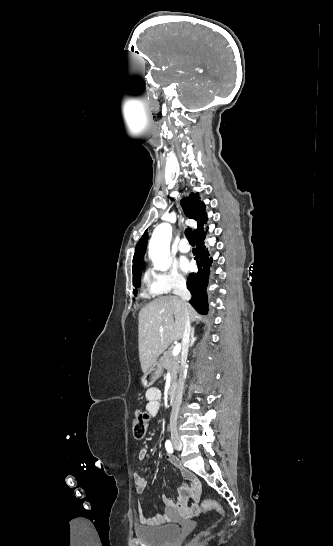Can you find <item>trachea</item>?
I'll return each mask as SVG.
<instances>
[{
	"mask_svg": "<svg viewBox=\"0 0 333 546\" xmlns=\"http://www.w3.org/2000/svg\"><path fill=\"white\" fill-rule=\"evenodd\" d=\"M185 236H186V238L188 239V241H189L190 244H195V240H194L193 232H192V229H191V228H186V230H185Z\"/></svg>",
	"mask_w": 333,
	"mask_h": 546,
	"instance_id": "1",
	"label": "trachea"
}]
</instances>
